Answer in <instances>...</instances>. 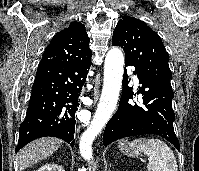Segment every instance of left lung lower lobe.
<instances>
[{
	"instance_id": "obj_1",
	"label": "left lung lower lobe",
	"mask_w": 199,
	"mask_h": 171,
	"mask_svg": "<svg viewBox=\"0 0 199 171\" xmlns=\"http://www.w3.org/2000/svg\"><path fill=\"white\" fill-rule=\"evenodd\" d=\"M129 65L131 64L125 62V69ZM134 74L141 84L137 94L142 95L143 106L128 103L129 99L133 98V91L132 87H128V81L123 78L119 108L105 128L103 145L106 147L125 137L153 134L165 138L180 150L173 127L175 120L172 109L173 90L136 69Z\"/></svg>"
}]
</instances>
